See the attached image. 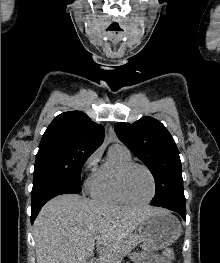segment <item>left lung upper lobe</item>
<instances>
[{
  "label": "left lung upper lobe",
  "mask_w": 220,
  "mask_h": 263,
  "mask_svg": "<svg viewBox=\"0 0 220 263\" xmlns=\"http://www.w3.org/2000/svg\"><path fill=\"white\" fill-rule=\"evenodd\" d=\"M118 138L151 171L155 197L151 205L186 209L181 161L176 143L158 120L144 116L136 122L115 124Z\"/></svg>",
  "instance_id": "5c2ea615"
}]
</instances>
